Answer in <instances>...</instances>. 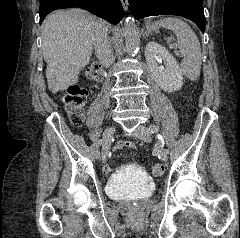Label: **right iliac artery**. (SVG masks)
<instances>
[{"mask_svg": "<svg viewBox=\"0 0 240 238\" xmlns=\"http://www.w3.org/2000/svg\"><path fill=\"white\" fill-rule=\"evenodd\" d=\"M96 143H97L98 145L95 146V152H94L95 154H94V155H95V157H100V155H101V154H100V153H101V152H100V146L102 145V142L98 140ZM99 145H100V146H99Z\"/></svg>", "mask_w": 240, "mask_h": 238, "instance_id": "1", "label": "right iliac artery"}]
</instances>
